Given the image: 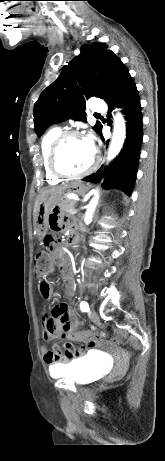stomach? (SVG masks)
<instances>
[{
  "label": "stomach",
  "mask_w": 165,
  "mask_h": 461,
  "mask_svg": "<svg viewBox=\"0 0 165 461\" xmlns=\"http://www.w3.org/2000/svg\"><path fill=\"white\" fill-rule=\"evenodd\" d=\"M87 189L88 187L84 183L74 182L70 185L68 192L83 195ZM62 199L63 193L49 194L41 200L35 221V229L39 238L43 239L47 234L49 228L48 214H52V206L58 204Z\"/></svg>",
  "instance_id": "1"
}]
</instances>
